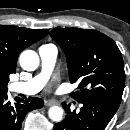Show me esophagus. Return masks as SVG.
I'll return each mask as SVG.
<instances>
[{
  "mask_svg": "<svg viewBox=\"0 0 130 130\" xmlns=\"http://www.w3.org/2000/svg\"><path fill=\"white\" fill-rule=\"evenodd\" d=\"M56 104H58V102L55 101V100H45V102H44V105L46 107H50V106H53V105H56Z\"/></svg>",
  "mask_w": 130,
  "mask_h": 130,
  "instance_id": "obj_1",
  "label": "esophagus"
}]
</instances>
